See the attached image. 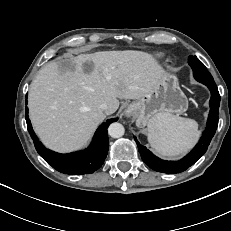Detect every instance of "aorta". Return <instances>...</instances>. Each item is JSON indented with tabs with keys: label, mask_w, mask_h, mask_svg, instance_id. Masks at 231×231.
<instances>
[{
	"label": "aorta",
	"mask_w": 231,
	"mask_h": 231,
	"mask_svg": "<svg viewBox=\"0 0 231 231\" xmlns=\"http://www.w3.org/2000/svg\"><path fill=\"white\" fill-rule=\"evenodd\" d=\"M124 132H125L124 126L117 122L110 124L108 128V134L112 138H120L124 135Z\"/></svg>",
	"instance_id": "762f6f07"
}]
</instances>
